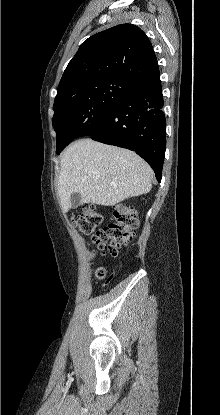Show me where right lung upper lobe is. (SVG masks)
<instances>
[{
  "mask_svg": "<svg viewBox=\"0 0 220 415\" xmlns=\"http://www.w3.org/2000/svg\"><path fill=\"white\" fill-rule=\"evenodd\" d=\"M158 73L157 59L146 34L135 25L122 24L80 45L63 73L58 93L77 83L107 78L136 85Z\"/></svg>",
  "mask_w": 220,
  "mask_h": 415,
  "instance_id": "right-lung-upper-lobe-1",
  "label": "right lung upper lobe"
}]
</instances>
